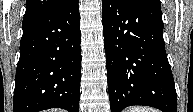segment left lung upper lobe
Segmentation results:
<instances>
[{"instance_id": "5c2ea615", "label": "left lung upper lobe", "mask_w": 193, "mask_h": 112, "mask_svg": "<svg viewBox=\"0 0 193 112\" xmlns=\"http://www.w3.org/2000/svg\"><path fill=\"white\" fill-rule=\"evenodd\" d=\"M126 2H131V3H139V2H146V1H159V0H123ZM160 2V1H159Z\"/></svg>"}]
</instances>
